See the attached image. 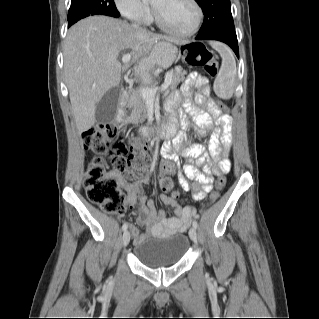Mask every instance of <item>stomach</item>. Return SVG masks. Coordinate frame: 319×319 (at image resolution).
I'll return each mask as SVG.
<instances>
[{
  "mask_svg": "<svg viewBox=\"0 0 319 319\" xmlns=\"http://www.w3.org/2000/svg\"><path fill=\"white\" fill-rule=\"evenodd\" d=\"M178 49L170 42L162 41L155 45L153 49L154 62L150 67L143 68L139 66L136 73L142 78L145 83H151L150 70L152 67H168L176 59Z\"/></svg>",
  "mask_w": 319,
  "mask_h": 319,
  "instance_id": "0dacf381",
  "label": "stomach"
}]
</instances>
